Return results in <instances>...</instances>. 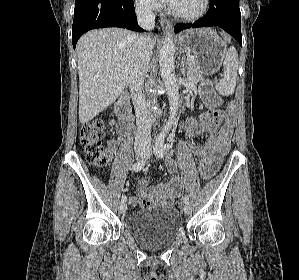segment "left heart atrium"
<instances>
[{
    "mask_svg": "<svg viewBox=\"0 0 299 280\" xmlns=\"http://www.w3.org/2000/svg\"><path fill=\"white\" fill-rule=\"evenodd\" d=\"M165 1H167L168 3H171L173 0H165Z\"/></svg>",
    "mask_w": 299,
    "mask_h": 280,
    "instance_id": "1",
    "label": "left heart atrium"
}]
</instances>
